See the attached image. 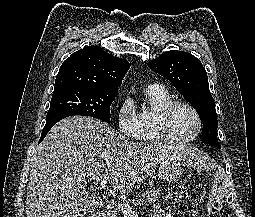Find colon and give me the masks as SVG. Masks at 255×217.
I'll use <instances>...</instances> for the list:
<instances>
[{"label":"colon","mask_w":255,"mask_h":217,"mask_svg":"<svg viewBox=\"0 0 255 217\" xmlns=\"http://www.w3.org/2000/svg\"><path fill=\"white\" fill-rule=\"evenodd\" d=\"M169 201L173 204L181 203L186 199V190L182 183L178 181L171 182L169 185ZM208 209L213 213L220 209V198L217 192L213 191L208 198Z\"/></svg>","instance_id":"1"}]
</instances>
